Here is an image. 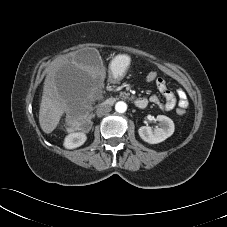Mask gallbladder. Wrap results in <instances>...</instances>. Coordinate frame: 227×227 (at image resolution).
Returning <instances> with one entry per match:
<instances>
[{
    "label": "gallbladder",
    "instance_id": "1",
    "mask_svg": "<svg viewBox=\"0 0 227 227\" xmlns=\"http://www.w3.org/2000/svg\"><path fill=\"white\" fill-rule=\"evenodd\" d=\"M77 61L87 67H99L101 65L100 55L98 51L93 48H86L79 51Z\"/></svg>",
    "mask_w": 227,
    "mask_h": 227
}]
</instances>
